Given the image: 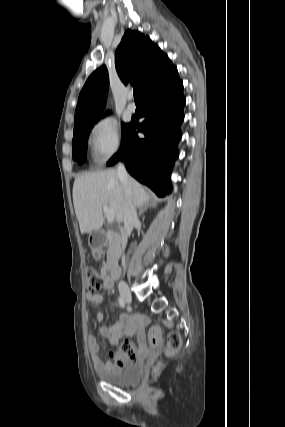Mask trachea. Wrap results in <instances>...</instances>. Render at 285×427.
<instances>
[{"label":"trachea","mask_w":285,"mask_h":427,"mask_svg":"<svg viewBox=\"0 0 285 427\" xmlns=\"http://www.w3.org/2000/svg\"><path fill=\"white\" fill-rule=\"evenodd\" d=\"M133 94H134L135 100H139V97H138V89H137V88H135V89L133 90Z\"/></svg>","instance_id":"3493384b"}]
</instances>
